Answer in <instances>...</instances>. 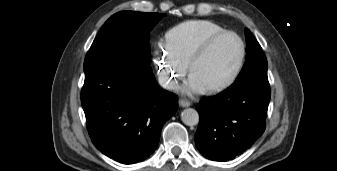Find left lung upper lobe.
<instances>
[{
    "mask_svg": "<svg viewBox=\"0 0 337 171\" xmlns=\"http://www.w3.org/2000/svg\"><path fill=\"white\" fill-rule=\"evenodd\" d=\"M247 60L235 82L230 86L248 83L269 84L267 77V59L261 46L249 29H245Z\"/></svg>",
    "mask_w": 337,
    "mask_h": 171,
    "instance_id": "1",
    "label": "left lung upper lobe"
}]
</instances>
